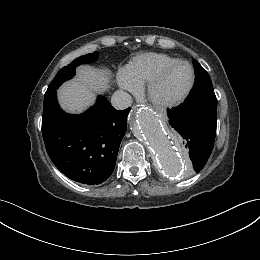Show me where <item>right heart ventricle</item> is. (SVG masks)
<instances>
[{"instance_id":"e07e8e85","label":"right heart ventricle","mask_w":260,"mask_h":260,"mask_svg":"<svg viewBox=\"0 0 260 260\" xmlns=\"http://www.w3.org/2000/svg\"><path fill=\"white\" fill-rule=\"evenodd\" d=\"M179 61V58L163 53H144L134 57L126 66L125 75L134 83L149 82L162 68Z\"/></svg>"}]
</instances>
